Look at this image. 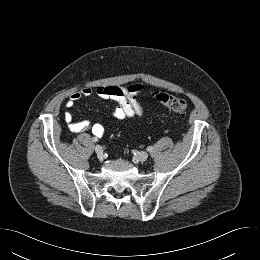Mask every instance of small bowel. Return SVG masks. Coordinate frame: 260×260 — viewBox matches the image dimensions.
I'll use <instances>...</instances> for the list:
<instances>
[{
	"label": "small bowel",
	"instance_id": "obj_1",
	"mask_svg": "<svg viewBox=\"0 0 260 260\" xmlns=\"http://www.w3.org/2000/svg\"><path fill=\"white\" fill-rule=\"evenodd\" d=\"M144 85L140 83L110 86H97L96 88L84 87L72 93L66 100V107L71 109L75 103L83 97L98 96L101 99L111 100L116 103L110 111L112 117L123 120L143 115V107L138 100V95L143 91ZM65 122L71 132L82 133L91 130L95 138L105 135L106 129L100 123L91 124L88 120L74 121L71 112L66 111L63 115Z\"/></svg>",
	"mask_w": 260,
	"mask_h": 260
}]
</instances>
